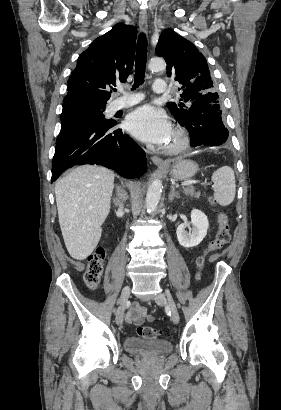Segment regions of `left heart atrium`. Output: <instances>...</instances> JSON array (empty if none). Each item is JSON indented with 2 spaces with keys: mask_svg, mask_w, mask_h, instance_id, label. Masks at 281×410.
Instances as JSON below:
<instances>
[{
  "mask_svg": "<svg viewBox=\"0 0 281 410\" xmlns=\"http://www.w3.org/2000/svg\"><path fill=\"white\" fill-rule=\"evenodd\" d=\"M126 126L133 136L147 143L166 145L172 136V126L165 112L150 105L132 112Z\"/></svg>",
  "mask_w": 281,
  "mask_h": 410,
  "instance_id": "1",
  "label": "left heart atrium"
}]
</instances>
